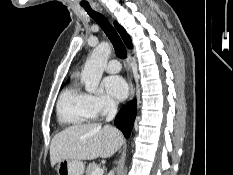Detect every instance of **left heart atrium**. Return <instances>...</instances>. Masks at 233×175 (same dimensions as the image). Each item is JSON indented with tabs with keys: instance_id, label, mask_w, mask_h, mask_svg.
Here are the masks:
<instances>
[{
	"instance_id": "39dd6f15",
	"label": "left heart atrium",
	"mask_w": 233,
	"mask_h": 175,
	"mask_svg": "<svg viewBox=\"0 0 233 175\" xmlns=\"http://www.w3.org/2000/svg\"><path fill=\"white\" fill-rule=\"evenodd\" d=\"M103 84L107 93L117 100H124L128 95V85L120 76H109Z\"/></svg>"
}]
</instances>
